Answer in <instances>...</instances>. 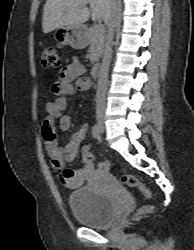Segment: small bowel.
I'll return each mask as SVG.
<instances>
[{
	"label": "small bowel",
	"mask_w": 194,
	"mask_h": 250,
	"mask_svg": "<svg viewBox=\"0 0 194 250\" xmlns=\"http://www.w3.org/2000/svg\"><path fill=\"white\" fill-rule=\"evenodd\" d=\"M84 66L74 62L65 67L61 72L60 81L52 85V90L57 98L49 101L46 105L48 115L44 120L42 133L45 141V149L51 160L52 166L58 173L61 182L69 188L80 187L94 172L91 164L85 165L79 170L65 169L66 163L75 160L79 147L85 138L88 126L82 125L70 137V140L60 146L57 142L55 121H59L62 131H67L72 125L70 116L63 114L67 107L68 97L75 95L78 91H86L90 88L91 82L83 76ZM75 82V83H73Z\"/></svg>",
	"instance_id": "obj_1"
}]
</instances>
